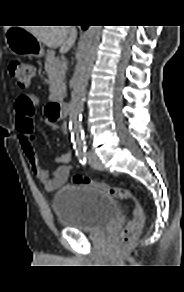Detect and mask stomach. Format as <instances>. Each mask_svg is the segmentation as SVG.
Returning a JSON list of instances; mask_svg holds the SVG:
<instances>
[{
  "label": "stomach",
  "mask_w": 184,
  "mask_h": 292,
  "mask_svg": "<svg viewBox=\"0 0 184 292\" xmlns=\"http://www.w3.org/2000/svg\"><path fill=\"white\" fill-rule=\"evenodd\" d=\"M10 51L15 55H30L40 58L44 49L40 41L28 30L21 27H10L5 35Z\"/></svg>",
  "instance_id": "obj_1"
}]
</instances>
